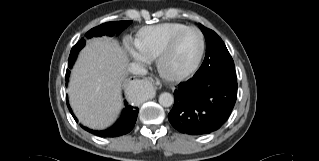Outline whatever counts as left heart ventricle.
<instances>
[{"mask_svg":"<svg viewBox=\"0 0 319 161\" xmlns=\"http://www.w3.org/2000/svg\"><path fill=\"white\" fill-rule=\"evenodd\" d=\"M200 48V38L196 31L181 35L166 60V67L171 71H183L195 61Z\"/></svg>","mask_w":319,"mask_h":161,"instance_id":"left-heart-ventricle-1","label":"left heart ventricle"}]
</instances>
